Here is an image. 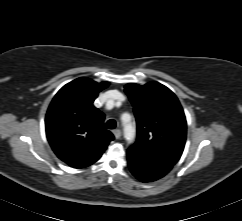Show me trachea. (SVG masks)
Returning <instances> with one entry per match:
<instances>
[{"instance_id": "trachea-1", "label": "trachea", "mask_w": 242, "mask_h": 221, "mask_svg": "<svg viewBox=\"0 0 242 221\" xmlns=\"http://www.w3.org/2000/svg\"><path fill=\"white\" fill-rule=\"evenodd\" d=\"M106 127L108 129H115L116 128V121L113 120V119L108 120L107 123H106Z\"/></svg>"}]
</instances>
